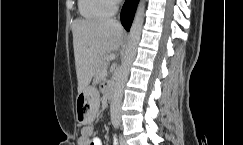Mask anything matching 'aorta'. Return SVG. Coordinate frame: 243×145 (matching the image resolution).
I'll list each match as a JSON object with an SVG mask.
<instances>
[{"mask_svg":"<svg viewBox=\"0 0 243 145\" xmlns=\"http://www.w3.org/2000/svg\"><path fill=\"white\" fill-rule=\"evenodd\" d=\"M144 12L145 0H141L138 4L137 11L129 32L128 44L126 47L125 55L122 59L121 66L119 68L118 76L116 79L111 99L110 113L111 119L113 121L118 122L120 120V111L124 87L130 73V68L136 56L137 47L140 41L142 27L144 23Z\"/></svg>","mask_w":243,"mask_h":145,"instance_id":"aorta-1","label":"aorta"}]
</instances>
